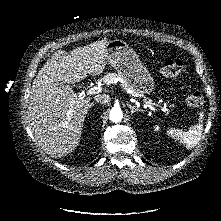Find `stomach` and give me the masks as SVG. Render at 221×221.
<instances>
[{"instance_id":"obj_1","label":"stomach","mask_w":221,"mask_h":221,"mask_svg":"<svg viewBox=\"0 0 221 221\" xmlns=\"http://www.w3.org/2000/svg\"><path fill=\"white\" fill-rule=\"evenodd\" d=\"M108 63L123 77L128 88L140 96L154 93V80L134 49L122 40L109 41L106 46Z\"/></svg>"}]
</instances>
